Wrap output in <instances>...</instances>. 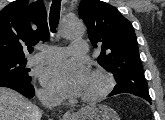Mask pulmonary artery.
<instances>
[{"instance_id": "e3ab8cb5", "label": "pulmonary artery", "mask_w": 165, "mask_h": 120, "mask_svg": "<svg viewBox=\"0 0 165 120\" xmlns=\"http://www.w3.org/2000/svg\"><path fill=\"white\" fill-rule=\"evenodd\" d=\"M69 52L84 55L87 53V44L84 41H74L69 49L57 46H44L41 52L34 55L31 59L34 63H49L65 57Z\"/></svg>"}]
</instances>
